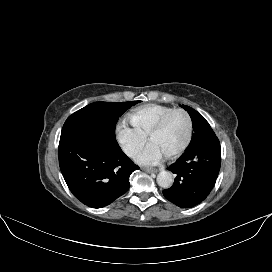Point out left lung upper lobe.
<instances>
[{"mask_svg":"<svg viewBox=\"0 0 272 272\" xmlns=\"http://www.w3.org/2000/svg\"><path fill=\"white\" fill-rule=\"evenodd\" d=\"M181 107L189 113L193 124L194 134L188 148L199 145L207 140L216 137L209 123L202 115H200L196 110L189 106L181 105Z\"/></svg>","mask_w":272,"mask_h":272,"instance_id":"obj_1","label":"left lung upper lobe"}]
</instances>
